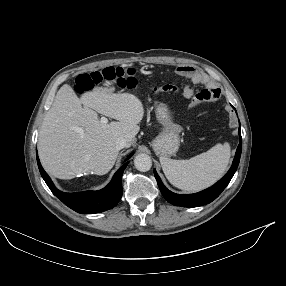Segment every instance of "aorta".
Returning <instances> with one entry per match:
<instances>
[{"label":"aorta","instance_id":"762f6f07","mask_svg":"<svg viewBox=\"0 0 286 286\" xmlns=\"http://www.w3.org/2000/svg\"><path fill=\"white\" fill-rule=\"evenodd\" d=\"M134 165L137 170L146 172L152 167V160L147 154H138L134 158Z\"/></svg>","mask_w":286,"mask_h":286}]
</instances>
